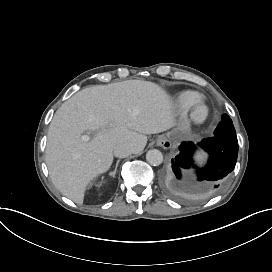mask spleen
Listing matches in <instances>:
<instances>
[{"label": "spleen", "mask_w": 272, "mask_h": 272, "mask_svg": "<svg viewBox=\"0 0 272 272\" xmlns=\"http://www.w3.org/2000/svg\"><path fill=\"white\" fill-rule=\"evenodd\" d=\"M206 156H207L206 153L200 152L196 155V159L199 161V163H202Z\"/></svg>", "instance_id": "spleen-1"}]
</instances>
